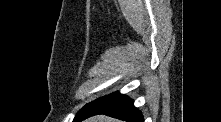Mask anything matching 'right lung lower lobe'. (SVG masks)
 Returning <instances> with one entry per match:
<instances>
[{
  "label": "right lung lower lobe",
  "mask_w": 221,
  "mask_h": 122,
  "mask_svg": "<svg viewBox=\"0 0 221 122\" xmlns=\"http://www.w3.org/2000/svg\"><path fill=\"white\" fill-rule=\"evenodd\" d=\"M98 114H106L127 122H144L141 112L134 107L133 101L119 92L106 95L85 105L77 113L75 121Z\"/></svg>",
  "instance_id": "obj_1"
}]
</instances>
